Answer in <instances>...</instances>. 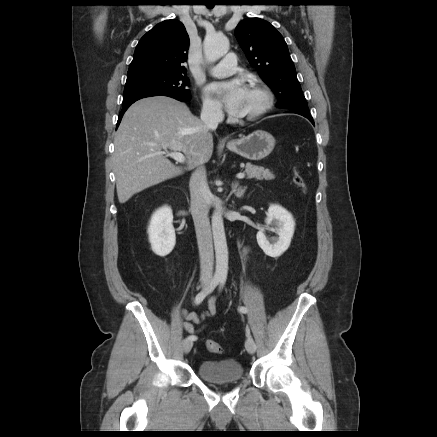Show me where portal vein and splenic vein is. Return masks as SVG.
<instances>
[{
	"instance_id": "1",
	"label": "portal vein and splenic vein",
	"mask_w": 437,
	"mask_h": 437,
	"mask_svg": "<svg viewBox=\"0 0 437 437\" xmlns=\"http://www.w3.org/2000/svg\"><path fill=\"white\" fill-rule=\"evenodd\" d=\"M165 153V152H164ZM166 154V153H165ZM167 156H170L171 158H173L175 161L179 162V163H184L185 162V157L182 153L180 152H167ZM245 177L244 173H238L237 174V178L242 179Z\"/></svg>"
}]
</instances>
